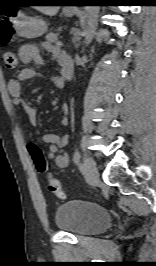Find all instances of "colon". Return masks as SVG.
Returning <instances> with one entry per match:
<instances>
[{
	"label": "colon",
	"mask_w": 156,
	"mask_h": 266,
	"mask_svg": "<svg viewBox=\"0 0 156 266\" xmlns=\"http://www.w3.org/2000/svg\"><path fill=\"white\" fill-rule=\"evenodd\" d=\"M12 36L13 27L11 23L9 21H3L0 24V41L2 43L7 42L11 39ZM2 59L8 69H15L18 64L17 54L12 50L4 51L2 54ZM27 148L35 166V169L39 173L46 174L48 179L49 191L55 194L59 199H64L65 193L61 188L60 182L56 178H54L51 172L49 171L48 164L41 149L33 143H29Z\"/></svg>",
	"instance_id": "colon-1"
}]
</instances>
